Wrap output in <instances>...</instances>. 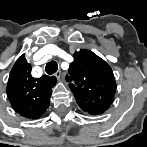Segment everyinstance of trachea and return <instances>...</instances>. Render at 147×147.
<instances>
[{"mask_svg": "<svg viewBox=\"0 0 147 147\" xmlns=\"http://www.w3.org/2000/svg\"><path fill=\"white\" fill-rule=\"evenodd\" d=\"M58 69V64L55 61H50L46 64L45 71L48 75L54 74Z\"/></svg>", "mask_w": 147, "mask_h": 147, "instance_id": "obj_1", "label": "trachea"}]
</instances>
